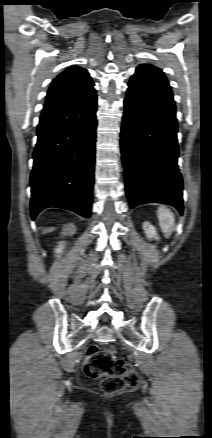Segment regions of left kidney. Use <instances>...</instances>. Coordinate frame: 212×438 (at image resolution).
Masks as SVG:
<instances>
[{"mask_svg":"<svg viewBox=\"0 0 212 438\" xmlns=\"http://www.w3.org/2000/svg\"><path fill=\"white\" fill-rule=\"evenodd\" d=\"M143 229H144V232H145L147 238H149V239L154 238L156 240L159 239V237L157 235L156 228L152 224H150L149 222L143 223Z\"/></svg>","mask_w":212,"mask_h":438,"instance_id":"1","label":"left kidney"}]
</instances>
